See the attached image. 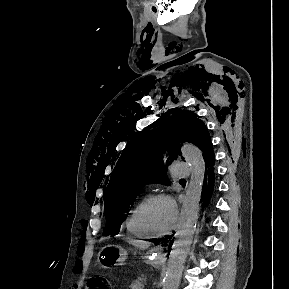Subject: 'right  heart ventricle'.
<instances>
[{"instance_id": "1", "label": "right heart ventricle", "mask_w": 289, "mask_h": 289, "mask_svg": "<svg viewBox=\"0 0 289 289\" xmlns=\"http://www.w3.org/2000/svg\"><path fill=\"white\" fill-rule=\"evenodd\" d=\"M145 199L146 198H143L135 205V207L129 212L125 220L126 231L130 235L137 237V238H149L150 237L140 228L138 221H137L138 210Z\"/></svg>"}]
</instances>
